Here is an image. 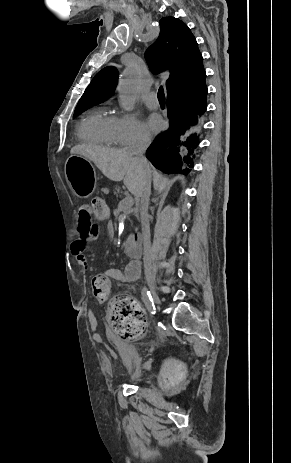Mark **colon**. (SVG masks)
<instances>
[{
	"label": "colon",
	"mask_w": 291,
	"mask_h": 463,
	"mask_svg": "<svg viewBox=\"0 0 291 463\" xmlns=\"http://www.w3.org/2000/svg\"><path fill=\"white\" fill-rule=\"evenodd\" d=\"M93 208L99 218L107 215L108 207L104 200L95 199ZM91 290L98 301H107L112 290L110 279L103 275L93 277ZM108 320L113 332L125 339L137 338L145 331L146 320L141 306L127 296H115L110 300Z\"/></svg>",
	"instance_id": "obj_1"
}]
</instances>
